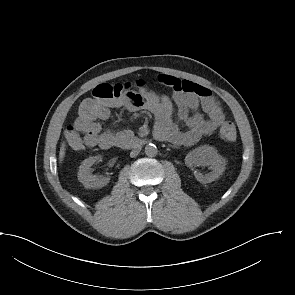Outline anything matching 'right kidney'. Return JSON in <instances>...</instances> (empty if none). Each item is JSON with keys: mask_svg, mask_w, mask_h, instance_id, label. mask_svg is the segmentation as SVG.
Segmentation results:
<instances>
[{"mask_svg": "<svg viewBox=\"0 0 295 295\" xmlns=\"http://www.w3.org/2000/svg\"><path fill=\"white\" fill-rule=\"evenodd\" d=\"M99 160L98 156H93L85 159L79 167L78 180L85 188H102L109 183L108 177H97L91 173V166Z\"/></svg>", "mask_w": 295, "mask_h": 295, "instance_id": "ca27d5eb", "label": "right kidney"}]
</instances>
